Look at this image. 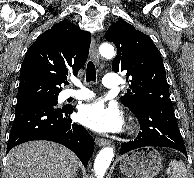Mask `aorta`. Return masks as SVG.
Returning <instances> with one entry per match:
<instances>
[{
    "label": "aorta",
    "mask_w": 194,
    "mask_h": 178,
    "mask_svg": "<svg viewBox=\"0 0 194 178\" xmlns=\"http://www.w3.org/2000/svg\"><path fill=\"white\" fill-rule=\"evenodd\" d=\"M99 53L107 59L115 55L114 47L109 43H103L99 47ZM114 157V149L112 147L103 148L95 158L94 173L96 178H103L111 161Z\"/></svg>",
    "instance_id": "1"
}]
</instances>
